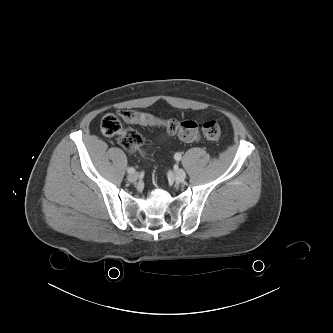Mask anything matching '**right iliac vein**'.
<instances>
[{
    "label": "right iliac vein",
    "instance_id": "63e3f726",
    "mask_svg": "<svg viewBox=\"0 0 333 333\" xmlns=\"http://www.w3.org/2000/svg\"><path fill=\"white\" fill-rule=\"evenodd\" d=\"M138 174L137 173H132L127 176V179L129 182H135L138 180Z\"/></svg>",
    "mask_w": 333,
    "mask_h": 333
}]
</instances>
